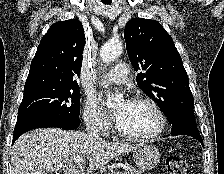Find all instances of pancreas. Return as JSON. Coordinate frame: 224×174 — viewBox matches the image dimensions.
Instances as JSON below:
<instances>
[{"label":"pancreas","mask_w":224,"mask_h":174,"mask_svg":"<svg viewBox=\"0 0 224 174\" xmlns=\"http://www.w3.org/2000/svg\"><path fill=\"white\" fill-rule=\"evenodd\" d=\"M111 174H115V173H111ZM122 174H143V173L142 171L135 169L131 165H124Z\"/></svg>","instance_id":"1"}]
</instances>
